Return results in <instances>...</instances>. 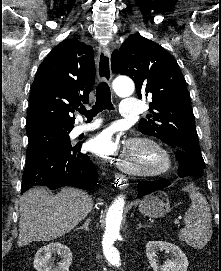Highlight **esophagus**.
<instances>
[{"label":"esophagus","mask_w":221,"mask_h":271,"mask_svg":"<svg viewBox=\"0 0 221 271\" xmlns=\"http://www.w3.org/2000/svg\"><path fill=\"white\" fill-rule=\"evenodd\" d=\"M97 76L100 81L110 83L112 80L111 70V55L107 46H99L98 49V61H97ZM115 177L120 180L121 187L125 188L128 185L127 178L119 173L115 174Z\"/></svg>","instance_id":"1"}]
</instances>
